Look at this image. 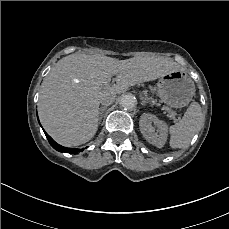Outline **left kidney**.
<instances>
[{
    "label": "left kidney",
    "instance_id": "obj_1",
    "mask_svg": "<svg viewBox=\"0 0 229 229\" xmlns=\"http://www.w3.org/2000/svg\"><path fill=\"white\" fill-rule=\"evenodd\" d=\"M140 130L144 138L152 145L162 148L167 138V127L156 116L144 113L140 118Z\"/></svg>",
    "mask_w": 229,
    "mask_h": 229
}]
</instances>
